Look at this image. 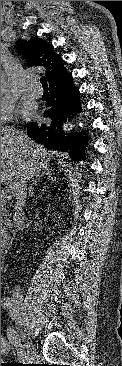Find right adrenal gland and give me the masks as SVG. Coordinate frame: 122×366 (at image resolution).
<instances>
[{
    "label": "right adrenal gland",
    "mask_w": 122,
    "mask_h": 366,
    "mask_svg": "<svg viewBox=\"0 0 122 366\" xmlns=\"http://www.w3.org/2000/svg\"><path fill=\"white\" fill-rule=\"evenodd\" d=\"M46 175H49V171L46 173ZM43 176H44V174L41 175L40 177L35 178V179L32 180L33 182L31 184V186L29 187V194H28L29 197H33L34 185H37V182H39Z\"/></svg>",
    "instance_id": "right-adrenal-gland-1"
}]
</instances>
